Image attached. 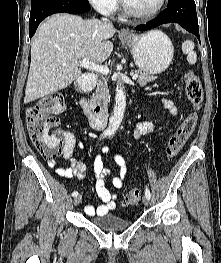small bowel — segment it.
Masks as SVG:
<instances>
[{
    "label": "small bowel",
    "instance_id": "1",
    "mask_svg": "<svg viewBox=\"0 0 221 263\" xmlns=\"http://www.w3.org/2000/svg\"><path fill=\"white\" fill-rule=\"evenodd\" d=\"M165 106L172 112H175L174 104L171 101H165ZM154 132V126L149 121H143L137 124L135 129V136L150 134ZM64 149L63 157L69 163L68 166L60 167L56 169L57 175L65 178H77L84 180L86 178V166L81 162L80 158L75 155L76 147L84 149V145L78 142L76 136L72 132H64ZM108 149L104 148L98 153L93 161V171L95 174V191L97 196L101 199L102 204L98 207L87 205L84 211L89 216L94 215H105L116 208L117 197L113 194L109 187L122 188L125 182L127 173V165L123 156L118 152L114 151V160L120 167L118 176L113 177L109 180V170L104 168V161L107 156ZM47 165L50 168L56 167V161L48 160Z\"/></svg>",
    "mask_w": 221,
    "mask_h": 263
}]
</instances>
